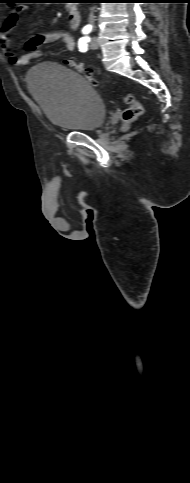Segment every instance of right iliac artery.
<instances>
[{"instance_id":"82829eb1","label":"right iliac artery","mask_w":190,"mask_h":483,"mask_svg":"<svg viewBox=\"0 0 190 483\" xmlns=\"http://www.w3.org/2000/svg\"><path fill=\"white\" fill-rule=\"evenodd\" d=\"M91 29H92V28H91V26L87 25V26H85V27L82 29V33H83V34H88V33H90V32H91Z\"/></svg>"}]
</instances>
